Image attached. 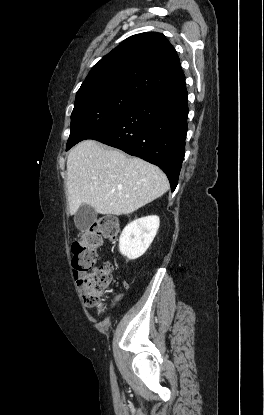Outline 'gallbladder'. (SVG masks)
<instances>
[{
	"mask_svg": "<svg viewBox=\"0 0 264 415\" xmlns=\"http://www.w3.org/2000/svg\"><path fill=\"white\" fill-rule=\"evenodd\" d=\"M97 212L89 205H82L77 210L74 216V222L77 229L81 232H86L90 225L96 220Z\"/></svg>",
	"mask_w": 264,
	"mask_h": 415,
	"instance_id": "bac80fb5",
	"label": "gallbladder"
}]
</instances>
